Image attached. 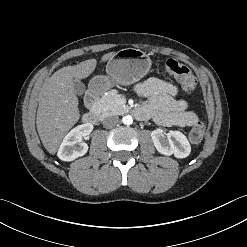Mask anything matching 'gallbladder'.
Listing matches in <instances>:
<instances>
[{"label": "gallbladder", "instance_id": "obj_1", "mask_svg": "<svg viewBox=\"0 0 247 247\" xmlns=\"http://www.w3.org/2000/svg\"><path fill=\"white\" fill-rule=\"evenodd\" d=\"M73 87L77 95H82L85 92V85L79 79H74Z\"/></svg>", "mask_w": 247, "mask_h": 247}]
</instances>
